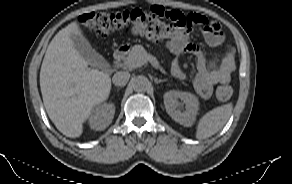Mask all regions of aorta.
<instances>
[{
    "mask_svg": "<svg viewBox=\"0 0 292 184\" xmlns=\"http://www.w3.org/2000/svg\"><path fill=\"white\" fill-rule=\"evenodd\" d=\"M150 82L145 76H137L133 79L132 86L136 92H145L150 88Z\"/></svg>",
    "mask_w": 292,
    "mask_h": 184,
    "instance_id": "obj_1",
    "label": "aorta"
}]
</instances>
